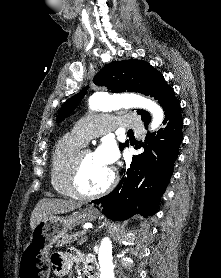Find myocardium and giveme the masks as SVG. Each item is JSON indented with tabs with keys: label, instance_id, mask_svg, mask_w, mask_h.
I'll return each instance as SVG.
<instances>
[{
	"label": "myocardium",
	"instance_id": "f54148a6",
	"mask_svg": "<svg viewBox=\"0 0 221 278\" xmlns=\"http://www.w3.org/2000/svg\"><path fill=\"white\" fill-rule=\"evenodd\" d=\"M93 153L90 148H81L73 157L68 171V183L72 193L79 199L89 200L102 196L111 191L118 180L117 172L111 168V176L108 183L100 190L94 192H87L80 182V171L84 158Z\"/></svg>",
	"mask_w": 221,
	"mask_h": 278
}]
</instances>
